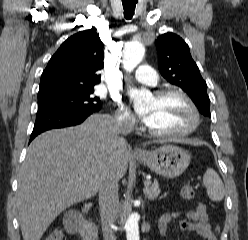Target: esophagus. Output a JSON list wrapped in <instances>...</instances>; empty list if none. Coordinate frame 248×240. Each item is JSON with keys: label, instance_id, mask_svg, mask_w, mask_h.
<instances>
[{"label": "esophagus", "instance_id": "obj_1", "mask_svg": "<svg viewBox=\"0 0 248 240\" xmlns=\"http://www.w3.org/2000/svg\"><path fill=\"white\" fill-rule=\"evenodd\" d=\"M133 153H134V154H143L144 151H143L141 148H139V147H135V148L133 149Z\"/></svg>", "mask_w": 248, "mask_h": 240}]
</instances>
